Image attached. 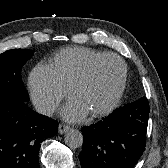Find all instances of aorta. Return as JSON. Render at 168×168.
I'll return each instance as SVG.
<instances>
[{"mask_svg": "<svg viewBox=\"0 0 168 168\" xmlns=\"http://www.w3.org/2000/svg\"><path fill=\"white\" fill-rule=\"evenodd\" d=\"M65 143L72 149L80 147L83 143V135L79 130L70 129L65 134Z\"/></svg>", "mask_w": 168, "mask_h": 168, "instance_id": "1", "label": "aorta"}]
</instances>
